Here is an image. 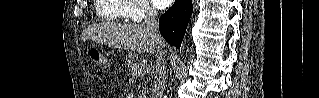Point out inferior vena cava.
<instances>
[{"mask_svg": "<svg viewBox=\"0 0 319 98\" xmlns=\"http://www.w3.org/2000/svg\"><path fill=\"white\" fill-rule=\"evenodd\" d=\"M157 11L152 8H147V14L143 25L150 32L155 42L158 44L156 50V67L154 71V82L152 86V98H163L166 86V66L164 56V41L159 32V24L156 20Z\"/></svg>", "mask_w": 319, "mask_h": 98, "instance_id": "obj_1", "label": "inferior vena cava"}]
</instances>
